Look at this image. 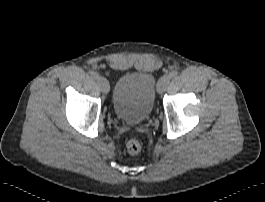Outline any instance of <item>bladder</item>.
Masks as SVG:
<instances>
[{"instance_id": "obj_1", "label": "bladder", "mask_w": 265, "mask_h": 202, "mask_svg": "<svg viewBox=\"0 0 265 202\" xmlns=\"http://www.w3.org/2000/svg\"><path fill=\"white\" fill-rule=\"evenodd\" d=\"M158 81L147 72L125 73L117 80L113 93L116 116L128 124H140L151 114Z\"/></svg>"}]
</instances>
